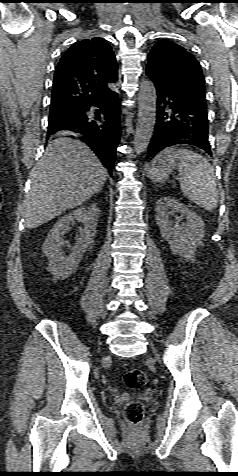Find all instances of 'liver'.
I'll use <instances>...</instances> for the list:
<instances>
[{
  "label": "liver",
  "mask_w": 238,
  "mask_h": 476,
  "mask_svg": "<svg viewBox=\"0 0 238 476\" xmlns=\"http://www.w3.org/2000/svg\"><path fill=\"white\" fill-rule=\"evenodd\" d=\"M108 176L100 160L80 140L57 138L31 172L24 202L25 226L36 228L99 192Z\"/></svg>",
  "instance_id": "obj_1"
}]
</instances>
